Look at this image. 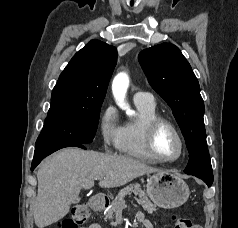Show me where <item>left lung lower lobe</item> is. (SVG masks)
Wrapping results in <instances>:
<instances>
[{
    "mask_svg": "<svg viewBox=\"0 0 238 228\" xmlns=\"http://www.w3.org/2000/svg\"><path fill=\"white\" fill-rule=\"evenodd\" d=\"M186 174L193 175V176H196V177L202 179L208 185V187H210L211 184L213 183V177H210L208 175L197 174V173H186Z\"/></svg>",
    "mask_w": 238,
    "mask_h": 228,
    "instance_id": "0a47b994",
    "label": "left lung lower lobe"
}]
</instances>
